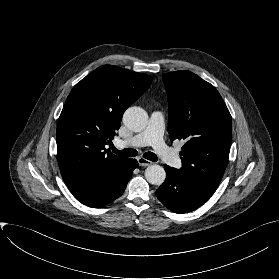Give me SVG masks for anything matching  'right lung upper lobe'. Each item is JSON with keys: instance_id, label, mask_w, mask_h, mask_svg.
Masks as SVG:
<instances>
[{"instance_id": "right-lung-upper-lobe-1", "label": "right lung upper lobe", "mask_w": 279, "mask_h": 279, "mask_svg": "<svg viewBox=\"0 0 279 279\" xmlns=\"http://www.w3.org/2000/svg\"><path fill=\"white\" fill-rule=\"evenodd\" d=\"M149 75L103 65L71 90L58 120L57 157L76 198L86 197L120 173L128 158L110 153L125 110L151 85Z\"/></svg>"}]
</instances>
